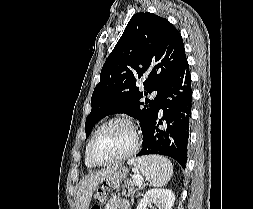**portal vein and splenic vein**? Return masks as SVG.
I'll use <instances>...</instances> for the list:
<instances>
[{"instance_id":"obj_1","label":"portal vein and splenic vein","mask_w":253,"mask_h":209,"mask_svg":"<svg viewBox=\"0 0 253 209\" xmlns=\"http://www.w3.org/2000/svg\"><path fill=\"white\" fill-rule=\"evenodd\" d=\"M133 180L136 182V184L139 187H141L143 180H142V178L139 175H134L133 176Z\"/></svg>"}]
</instances>
